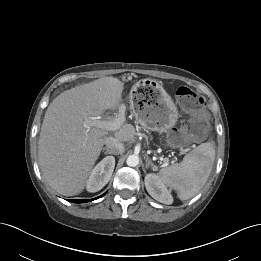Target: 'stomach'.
<instances>
[{
  "instance_id": "obj_1",
  "label": "stomach",
  "mask_w": 261,
  "mask_h": 261,
  "mask_svg": "<svg viewBox=\"0 0 261 261\" xmlns=\"http://www.w3.org/2000/svg\"><path fill=\"white\" fill-rule=\"evenodd\" d=\"M147 98L136 97L133 108L138 123L147 130L160 134L168 132L177 122L178 110L162 84L149 80Z\"/></svg>"
}]
</instances>
